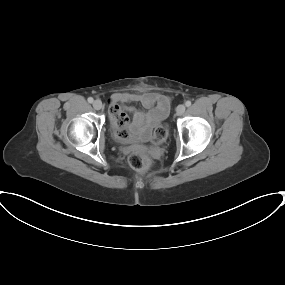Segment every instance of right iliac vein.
<instances>
[{"mask_svg":"<svg viewBox=\"0 0 285 285\" xmlns=\"http://www.w3.org/2000/svg\"><path fill=\"white\" fill-rule=\"evenodd\" d=\"M102 102L100 101V100H95L94 102H93V107H94V109H96V110H100L101 108H102Z\"/></svg>","mask_w":285,"mask_h":285,"instance_id":"right-iliac-vein-1","label":"right iliac vein"}]
</instances>
